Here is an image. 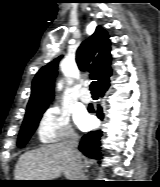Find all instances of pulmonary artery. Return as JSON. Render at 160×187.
<instances>
[{"label":"pulmonary artery","mask_w":160,"mask_h":187,"mask_svg":"<svg viewBox=\"0 0 160 187\" xmlns=\"http://www.w3.org/2000/svg\"><path fill=\"white\" fill-rule=\"evenodd\" d=\"M79 98L84 103H89L91 101V96L86 92V89H83L80 92Z\"/></svg>","instance_id":"e3ab8cb5"}]
</instances>
